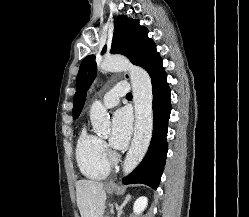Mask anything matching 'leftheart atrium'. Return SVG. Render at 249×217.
<instances>
[{"label":"left heart atrium","mask_w":249,"mask_h":217,"mask_svg":"<svg viewBox=\"0 0 249 217\" xmlns=\"http://www.w3.org/2000/svg\"><path fill=\"white\" fill-rule=\"evenodd\" d=\"M132 131V119L125 109L118 110L113 116L110 144L115 149H123L129 142Z\"/></svg>","instance_id":"1"}]
</instances>
